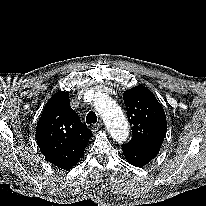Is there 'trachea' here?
I'll list each match as a JSON object with an SVG mask.
<instances>
[{
  "instance_id": "3493384b",
  "label": "trachea",
  "mask_w": 206,
  "mask_h": 206,
  "mask_svg": "<svg viewBox=\"0 0 206 206\" xmlns=\"http://www.w3.org/2000/svg\"><path fill=\"white\" fill-rule=\"evenodd\" d=\"M86 122L87 124H93L97 122V116L95 114V112L90 111L87 116H86Z\"/></svg>"
}]
</instances>
